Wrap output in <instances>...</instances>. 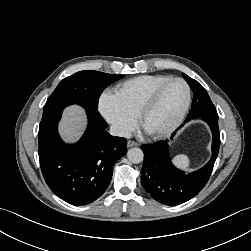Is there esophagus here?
I'll return each instance as SVG.
<instances>
[{
  "mask_svg": "<svg viewBox=\"0 0 251 251\" xmlns=\"http://www.w3.org/2000/svg\"><path fill=\"white\" fill-rule=\"evenodd\" d=\"M134 146H138V143L132 140H129L127 142V147H134Z\"/></svg>",
  "mask_w": 251,
  "mask_h": 251,
  "instance_id": "34e87169",
  "label": "esophagus"
}]
</instances>
